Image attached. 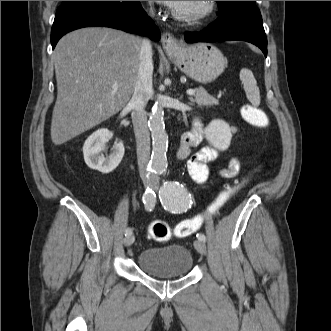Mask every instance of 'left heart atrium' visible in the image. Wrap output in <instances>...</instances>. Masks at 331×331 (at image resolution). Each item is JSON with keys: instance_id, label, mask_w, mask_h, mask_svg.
<instances>
[{"instance_id": "39dd6f15", "label": "left heart atrium", "mask_w": 331, "mask_h": 331, "mask_svg": "<svg viewBox=\"0 0 331 331\" xmlns=\"http://www.w3.org/2000/svg\"><path fill=\"white\" fill-rule=\"evenodd\" d=\"M159 3L171 6V7H176L179 1H157Z\"/></svg>"}]
</instances>
